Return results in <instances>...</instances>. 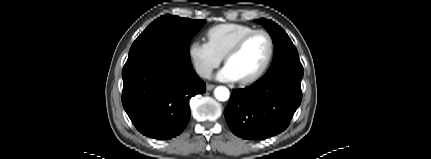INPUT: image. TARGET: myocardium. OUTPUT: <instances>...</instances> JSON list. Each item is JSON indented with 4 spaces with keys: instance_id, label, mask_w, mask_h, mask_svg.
<instances>
[{
    "instance_id": "myocardium-1",
    "label": "myocardium",
    "mask_w": 431,
    "mask_h": 159,
    "mask_svg": "<svg viewBox=\"0 0 431 159\" xmlns=\"http://www.w3.org/2000/svg\"><path fill=\"white\" fill-rule=\"evenodd\" d=\"M256 34H264L267 37L269 41V53L264 64L255 73L238 80L241 84H249L255 82L268 71L275 55V41L273 36L265 29H254L243 35L224 55V61L225 63H227L228 60L233 56L237 55L243 49L248 40Z\"/></svg>"
}]
</instances>
